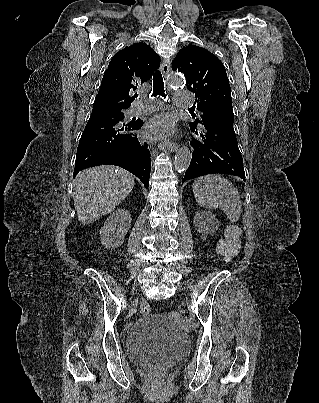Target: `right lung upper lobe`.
<instances>
[{"instance_id":"cb5924a9","label":"right lung upper lobe","mask_w":319,"mask_h":403,"mask_svg":"<svg viewBox=\"0 0 319 403\" xmlns=\"http://www.w3.org/2000/svg\"><path fill=\"white\" fill-rule=\"evenodd\" d=\"M159 63L158 54L143 42L117 52L104 73L94 106L128 108L134 100L130 91L148 81Z\"/></svg>"}]
</instances>
